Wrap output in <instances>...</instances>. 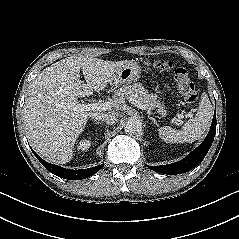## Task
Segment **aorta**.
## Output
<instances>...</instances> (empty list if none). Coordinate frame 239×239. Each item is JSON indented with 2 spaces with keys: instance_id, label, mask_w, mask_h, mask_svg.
I'll return each mask as SVG.
<instances>
[{
  "instance_id": "obj_1",
  "label": "aorta",
  "mask_w": 239,
  "mask_h": 239,
  "mask_svg": "<svg viewBox=\"0 0 239 239\" xmlns=\"http://www.w3.org/2000/svg\"><path fill=\"white\" fill-rule=\"evenodd\" d=\"M124 130L127 134H138L142 131V123L139 119L130 118L125 122Z\"/></svg>"
}]
</instances>
